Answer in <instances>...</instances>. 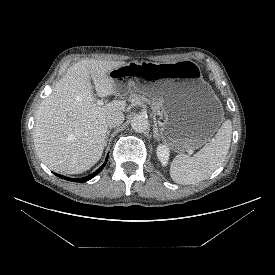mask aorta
<instances>
[{
  "label": "aorta",
  "instance_id": "aorta-1",
  "mask_svg": "<svg viewBox=\"0 0 275 275\" xmlns=\"http://www.w3.org/2000/svg\"><path fill=\"white\" fill-rule=\"evenodd\" d=\"M132 129L136 132L142 133L149 128V122L145 115H135L131 120Z\"/></svg>",
  "mask_w": 275,
  "mask_h": 275
}]
</instances>
